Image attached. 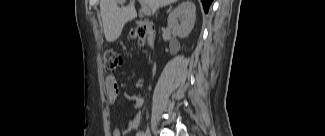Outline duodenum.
I'll return each instance as SVG.
<instances>
[{
    "mask_svg": "<svg viewBox=\"0 0 325 136\" xmlns=\"http://www.w3.org/2000/svg\"><path fill=\"white\" fill-rule=\"evenodd\" d=\"M139 26H140L141 29L148 32L149 41L152 42L154 31H155L154 25L152 23L148 22V21H141V22H139Z\"/></svg>",
    "mask_w": 325,
    "mask_h": 136,
    "instance_id": "410a0bca",
    "label": "duodenum"
}]
</instances>
